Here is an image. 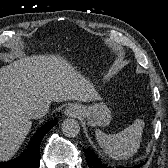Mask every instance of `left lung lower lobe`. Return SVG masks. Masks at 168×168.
I'll list each match as a JSON object with an SVG mask.
<instances>
[{
  "label": "left lung lower lobe",
  "instance_id": "0a47b994",
  "mask_svg": "<svg viewBox=\"0 0 168 168\" xmlns=\"http://www.w3.org/2000/svg\"><path fill=\"white\" fill-rule=\"evenodd\" d=\"M85 157L89 168H111L109 165L103 163L94 153L93 150H85ZM144 163L134 165L130 168H140Z\"/></svg>",
  "mask_w": 168,
  "mask_h": 168
}]
</instances>
